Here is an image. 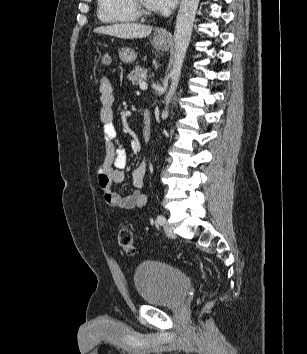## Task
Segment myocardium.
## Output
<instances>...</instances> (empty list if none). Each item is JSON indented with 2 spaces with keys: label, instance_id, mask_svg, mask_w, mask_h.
Here are the masks:
<instances>
[{
  "label": "myocardium",
  "instance_id": "obj_1",
  "mask_svg": "<svg viewBox=\"0 0 307 354\" xmlns=\"http://www.w3.org/2000/svg\"><path fill=\"white\" fill-rule=\"evenodd\" d=\"M131 4L139 16L148 17L153 15V11L146 7L142 0H131Z\"/></svg>",
  "mask_w": 307,
  "mask_h": 354
}]
</instances>
